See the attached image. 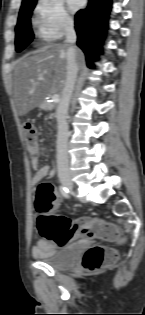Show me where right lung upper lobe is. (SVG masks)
<instances>
[{
	"instance_id": "1",
	"label": "right lung upper lobe",
	"mask_w": 145,
	"mask_h": 315,
	"mask_svg": "<svg viewBox=\"0 0 145 315\" xmlns=\"http://www.w3.org/2000/svg\"><path fill=\"white\" fill-rule=\"evenodd\" d=\"M33 1H35V0H23L22 6H23V5H26V4H28V3H31V2H33Z\"/></svg>"
}]
</instances>
